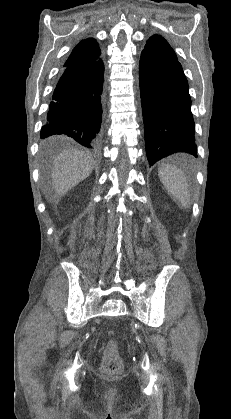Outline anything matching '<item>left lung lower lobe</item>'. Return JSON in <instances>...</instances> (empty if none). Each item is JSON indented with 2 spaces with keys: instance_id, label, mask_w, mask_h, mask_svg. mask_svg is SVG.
<instances>
[{
  "instance_id": "obj_1",
  "label": "left lung lower lobe",
  "mask_w": 231,
  "mask_h": 419,
  "mask_svg": "<svg viewBox=\"0 0 231 419\" xmlns=\"http://www.w3.org/2000/svg\"><path fill=\"white\" fill-rule=\"evenodd\" d=\"M139 82L150 166L179 153L197 157L191 98L181 64L142 51Z\"/></svg>"
}]
</instances>
